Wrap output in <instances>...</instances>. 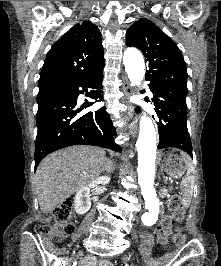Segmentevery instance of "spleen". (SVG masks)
Wrapping results in <instances>:
<instances>
[{"instance_id":"obj_1","label":"spleen","mask_w":221,"mask_h":266,"mask_svg":"<svg viewBox=\"0 0 221 266\" xmlns=\"http://www.w3.org/2000/svg\"><path fill=\"white\" fill-rule=\"evenodd\" d=\"M183 155L185 156V162L188 166V171L187 175L183 178L182 181V192L184 205L188 206L190 204V198L192 196L194 187V177L192 175L193 165L190 158L185 153H183Z\"/></svg>"}]
</instances>
